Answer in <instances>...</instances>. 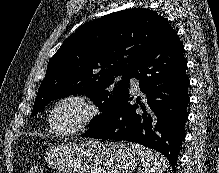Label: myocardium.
<instances>
[{
  "instance_id": "myocardium-1",
  "label": "myocardium",
  "mask_w": 219,
  "mask_h": 173,
  "mask_svg": "<svg viewBox=\"0 0 219 173\" xmlns=\"http://www.w3.org/2000/svg\"><path fill=\"white\" fill-rule=\"evenodd\" d=\"M67 102H73L81 106L82 116L69 130L59 131L54 121V113L60 105ZM99 115L100 107L92 98L81 93H70L54 101L49 110L48 120L50 129L55 135L60 137H69L85 131L97 120Z\"/></svg>"
}]
</instances>
